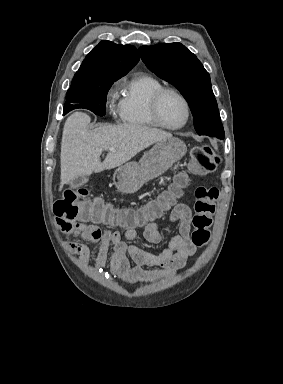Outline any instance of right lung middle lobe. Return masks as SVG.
<instances>
[{
	"mask_svg": "<svg viewBox=\"0 0 283 384\" xmlns=\"http://www.w3.org/2000/svg\"><path fill=\"white\" fill-rule=\"evenodd\" d=\"M112 84L107 83L85 88L69 89L64 104V114L76 108H85L91 110L96 115L104 116L106 96Z\"/></svg>",
	"mask_w": 283,
	"mask_h": 384,
	"instance_id": "right-lung-middle-lobe-1",
	"label": "right lung middle lobe"
}]
</instances>
